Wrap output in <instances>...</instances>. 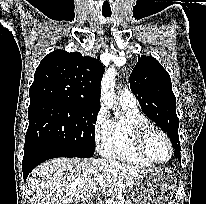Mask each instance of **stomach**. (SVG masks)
I'll return each instance as SVG.
<instances>
[{
	"instance_id": "obj_1",
	"label": "stomach",
	"mask_w": 206,
	"mask_h": 204,
	"mask_svg": "<svg viewBox=\"0 0 206 204\" xmlns=\"http://www.w3.org/2000/svg\"><path fill=\"white\" fill-rule=\"evenodd\" d=\"M177 180L170 169L149 170L127 188L126 204H172Z\"/></svg>"
}]
</instances>
